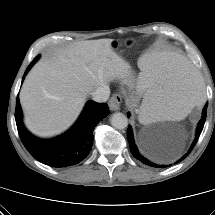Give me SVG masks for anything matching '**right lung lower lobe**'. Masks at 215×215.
<instances>
[{
	"label": "right lung lower lobe",
	"mask_w": 215,
	"mask_h": 215,
	"mask_svg": "<svg viewBox=\"0 0 215 215\" xmlns=\"http://www.w3.org/2000/svg\"><path fill=\"white\" fill-rule=\"evenodd\" d=\"M32 66L31 63L24 76ZM109 112L106 103L90 100L76 123L67 132L52 139H40L27 131L22 122V110L18 97L15 119L20 139L29 153L43 164L61 168L78 164L87 157L93 144V130Z\"/></svg>",
	"instance_id": "right-lung-lower-lobe-1"
}]
</instances>
